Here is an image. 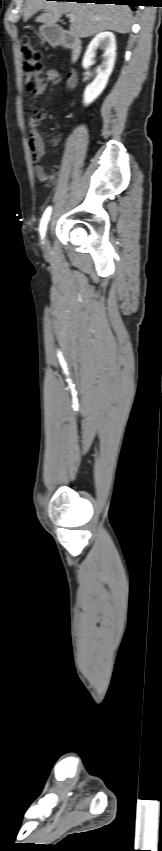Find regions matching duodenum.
Segmentation results:
<instances>
[{
    "instance_id": "obj_1",
    "label": "duodenum",
    "mask_w": 162,
    "mask_h": 851,
    "mask_svg": "<svg viewBox=\"0 0 162 851\" xmlns=\"http://www.w3.org/2000/svg\"><path fill=\"white\" fill-rule=\"evenodd\" d=\"M49 40L54 45H61L69 48L71 50L72 60H76L81 52V44L80 41L73 35L53 29L49 33Z\"/></svg>"
}]
</instances>
